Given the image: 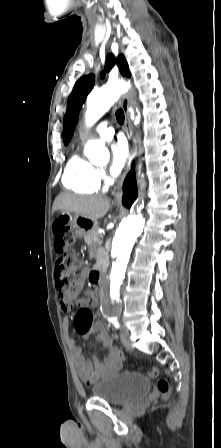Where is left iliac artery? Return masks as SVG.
Instances as JSON below:
<instances>
[{
  "label": "left iliac artery",
  "instance_id": "obj_1",
  "mask_svg": "<svg viewBox=\"0 0 221 448\" xmlns=\"http://www.w3.org/2000/svg\"><path fill=\"white\" fill-rule=\"evenodd\" d=\"M109 321L112 322L113 325H114L116 328H119V327H120V325H119V323H118V321H117V317H110V318H109Z\"/></svg>",
  "mask_w": 221,
  "mask_h": 448
}]
</instances>
